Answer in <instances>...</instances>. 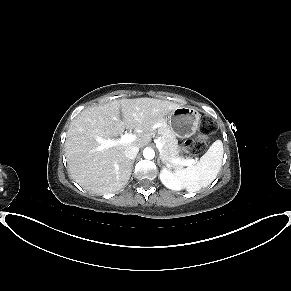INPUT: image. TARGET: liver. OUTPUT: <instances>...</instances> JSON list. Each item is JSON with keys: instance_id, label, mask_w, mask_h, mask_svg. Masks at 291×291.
<instances>
[{"instance_id": "obj_1", "label": "liver", "mask_w": 291, "mask_h": 291, "mask_svg": "<svg viewBox=\"0 0 291 291\" xmlns=\"http://www.w3.org/2000/svg\"><path fill=\"white\" fill-rule=\"evenodd\" d=\"M179 107V104L166 100L136 98L113 100L83 110L67 130L65 155L71 177L82 188L94 193L119 191L128 183L132 172L125 149L147 145L151 140L152 125ZM125 129L137 132L133 142L101 148L97 138L111 140Z\"/></svg>"}]
</instances>
